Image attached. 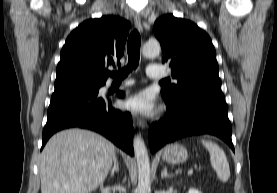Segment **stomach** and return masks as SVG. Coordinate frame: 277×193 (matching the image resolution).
<instances>
[{
  "instance_id": "0dacf381",
  "label": "stomach",
  "mask_w": 277,
  "mask_h": 193,
  "mask_svg": "<svg viewBox=\"0 0 277 193\" xmlns=\"http://www.w3.org/2000/svg\"><path fill=\"white\" fill-rule=\"evenodd\" d=\"M188 153L185 147L179 144H172L164 149L162 158L171 164L183 163L187 160Z\"/></svg>"
}]
</instances>
